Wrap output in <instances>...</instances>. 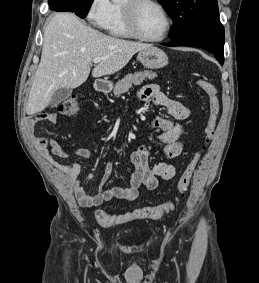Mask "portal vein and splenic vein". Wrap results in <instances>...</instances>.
<instances>
[{
	"mask_svg": "<svg viewBox=\"0 0 259 283\" xmlns=\"http://www.w3.org/2000/svg\"><path fill=\"white\" fill-rule=\"evenodd\" d=\"M101 60H102V58L97 57V58H94L93 62H94L95 64H97V63L101 62Z\"/></svg>",
	"mask_w": 259,
	"mask_h": 283,
	"instance_id": "obj_1",
	"label": "portal vein and splenic vein"
}]
</instances>
